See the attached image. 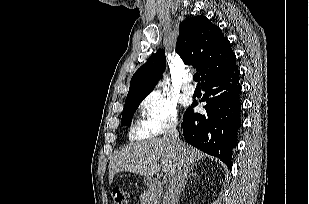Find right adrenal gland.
Wrapping results in <instances>:
<instances>
[{
	"mask_svg": "<svg viewBox=\"0 0 309 204\" xmlns=\"http://www.w3.org/2000/svg\"><path fill=\"white\" fill-rule=\"evenodd\" d=\"M192 177L197 178V173L194 171V168H191V173L188 175L186 183L188 182V179H191ZM185 187L183 188L184 191Z\"/></svg>",
	"mask_w": 309,
	"mask_h": 204,
	"instance_id": "obj_1",
	"label": "right adrenal gland"
}]
</instances>
